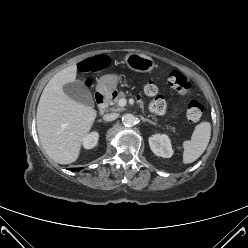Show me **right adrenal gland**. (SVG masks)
I'll return each mask as SVG.
<instances>
[{"instance_id":"right-adrenal-gland-1","label":"right adrenal gland","mask_w":248,"mask_h":248,"mask_svg":"<svg viewBox=\"0 0 248 248\" xmlns=\"http://www.w3.org/2000/svg\"><path fill=\"white\" fill-rule=\"evenodd\" d=\"M98 122H100V123H101V122H104V121H103L102 119H100V120H98ZM104 123H105V122H104Z\"/></svg>"}]
</instances>
